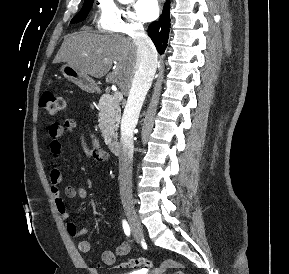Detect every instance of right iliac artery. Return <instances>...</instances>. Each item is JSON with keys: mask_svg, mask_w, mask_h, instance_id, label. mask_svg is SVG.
I'll return each instance as SVG.
<instances>
[{"mask_svg": "<svg viewBox=\"0 0 289 274\" xmlns=\"http://www.w3.org/2000/svg\"><path fill=\"white\" fill-rule=\"evenodd\" d=\"M123 229H124L125 234L129 237L130 236V227L125 220H123Z\"/></svg>", "mask_w": 289, "mask_h": 274, "instance_id": "1", "label": "right iliac artery"}]
</instances>
